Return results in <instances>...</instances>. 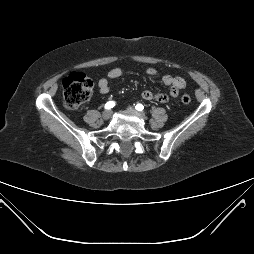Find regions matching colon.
<instances>
[{
	"mask_svg": "<svg viewBox=\"0 0 254 254\" xmlns=\"http://www.w3.org/2000/svg\"><path fill=\"white\" fill-rule=\"evenodd\" d=\"M93 87L92 79L84 73H71L63 81V100L66 108L74 110L88 101L92 95ZM181 101L184 104H189L191 97L188 94H184L181 97Z\"/></svg>",
	"mask_w": 254,
	"mask_h": 254,
	"instance_id": "5ec220e1",
	"label": "colon"
}]
</instances>
